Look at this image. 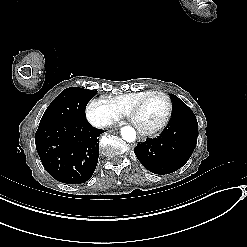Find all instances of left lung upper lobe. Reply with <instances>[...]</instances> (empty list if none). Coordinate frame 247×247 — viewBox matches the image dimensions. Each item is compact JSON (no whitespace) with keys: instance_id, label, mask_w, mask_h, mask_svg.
Returning a JSON list of instances; mask_svg holds the SVG:
<instances>
[{"instance_id":"obj_1","label":"left lung upper lobe","mask_w":247,"mask_h":247,"mask_svg":"<svg viewBox=\"0 0 247 247\" xmlns=\"http://www.w3.org/2000/svg\"><path fill=\"white\" fill-rule=\"evenodd\" d=\"M173 101V113L172 118L185 115H194L193 111L177 96L171 94Z\"/></svg>"}]
</instances>
